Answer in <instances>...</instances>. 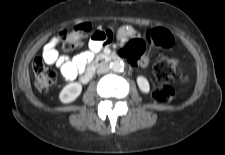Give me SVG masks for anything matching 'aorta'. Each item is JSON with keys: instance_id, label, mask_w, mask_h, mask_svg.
Here are the masks:
<instances>
[{"instance_id": "obj_1", "label": "aorta", "mask_w": 225, "mask_h": 155, "mask_svg": "<svg viewBox=\"0 0 225 155\" xmlns=\"http://www.w3.org/2000/svg\"><path fill=\"white\" fill-rule=\"evenodd\" d=\"M110 69L114 72H122L124 70V63L122 61H113L110 63Z\"/></svg>"}]
</instances>
